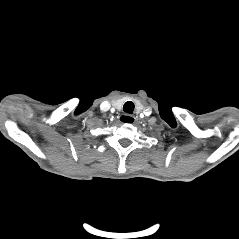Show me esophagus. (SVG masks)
Returning a JSON list of instances; mask_svg holds the SVG:
<instances>
[{
    "label": "esophagus",
    "mask_w": 239,
    "mask_h": 239,
    "mask_svg": "<svg viewBox=\"0 0 239 239\" xmlns=\"http://www.w3.org/2000/svg\"><path fill=\"white\" fill-rule=\"evenodd\" d=\"M120 120L127 123H135L137 120V117L133 115L124 114L121 116Z\"/></svg>",
    "instance_id": "esophagus-1"
}]
</instances>
